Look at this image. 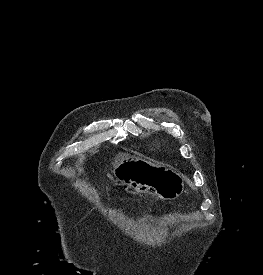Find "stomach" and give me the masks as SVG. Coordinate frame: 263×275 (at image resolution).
Returning <instances> with one entry per match:
<instances>
[{
  "label": "stomach",
  "instance_id": "stomach-1",
  "mask_svg": "<svg viewBox=\"0 0 263 275\" xmlns=\"http://www.w3.org/2000/svg\"><path fill=\"white\" fill-rule=\"evenodd\" d=\"M113 174L128 189L149 193L156 199L174 200L184 192V178L179 172L142 158H123L115 164Z\"/></svg>",
  "mask_w": 263,
  "mask_h": 275
}]
</instances>
